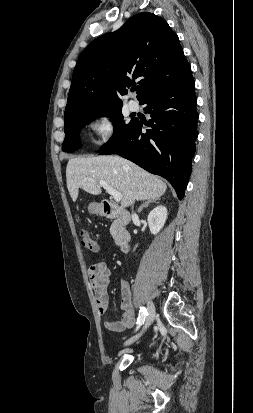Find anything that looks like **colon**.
I'll return each mask as SVG.
<instances>
[{
	"label": "colon",
	"instance_id": "1",
	"mask_svg": "<svg viewBox=\"0 0 253 413\" xmlns=\"http://www.w3.org/2000/svg\"><path fill=\"white\" fill-rule=\"evenodd\" d=\"M81 244L84 248L96 252L98 250V245L85 230L81 231Z\"/></svg>",
	"mask_w": 253,
	"mask_h": 413
}]
</instances>
